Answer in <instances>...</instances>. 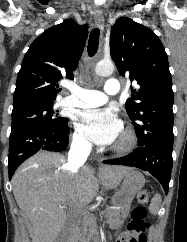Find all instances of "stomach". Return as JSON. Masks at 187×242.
Wrapping results in <instances>:
<instances>
[{"mask_svg":"<svg viewBox=\"0 0 187 242\" xmlns=\"http://www.w3.org/2000/svg\"><path fill=\"white\" fill-rule=\"evenodd\" d=\"M144 184L145 178L142 173L133 168H128L121 179L120 188L112 197L113 211L115 212L113 227H120L123 219L129 213L133 198L143 188Z\"/></svg>","mask_w":187,"mask_h":242,"instance_id":"0dacf381","label":"stomach"}]
</instances>
